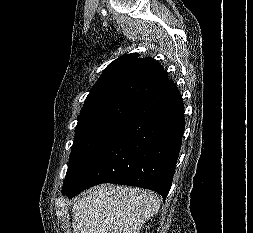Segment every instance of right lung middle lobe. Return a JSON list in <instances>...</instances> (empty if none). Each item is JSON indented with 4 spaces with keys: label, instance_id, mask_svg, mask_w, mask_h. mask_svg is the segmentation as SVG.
I'll return each instance as SVG.
<instances>
[{
    "label": "right lung middle lobe",
    "instance_id": "right-lung-middle-lobe-1",
    "mask_svg": "<svg viewBox=\"0 0 253 233\" xmlns=\"http://www.w3.org/2000/svg\"><path fill=\"white\" fill-rule=\"evenodd\" d=\"M135 102L119 98L83 106L75 129L74 144L71 148L72 153L70 154L66 178L124 117Z\"/></svg>",
    "mask_w": 253,
    "mask_h": 233
}]
</instances>
